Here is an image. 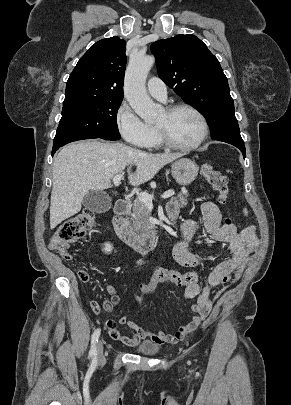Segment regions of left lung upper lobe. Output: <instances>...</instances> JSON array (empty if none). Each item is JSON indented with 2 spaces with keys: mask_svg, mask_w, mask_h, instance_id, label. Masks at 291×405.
<instances>
[{
  "mask_svg": "<svg viewBox=\"0 0 291 405\" xmlns=\"http://www.w3.org/2000/svg\"><path fill=\"white\" fill-rule=\"evenodd\" d=\"M159 77L206 118L212 139L242 140L229 85L218 59L192 34L154 42Z\"/></svg>",
  "mask_w": 291,
  "mask_h": 405,
  "instance_id": "5c2ea615",
  "label": "left lung upper lobe"
}]
</instances>
